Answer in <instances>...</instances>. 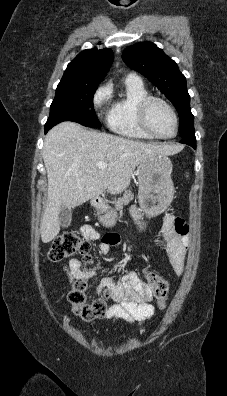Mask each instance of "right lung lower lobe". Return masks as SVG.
Returning a JSON list of instances; mask_svg holds the SVG:
<instances>
[{
	"label": "right lung lower lobe",
	"instance_id": "1",
	"mask_svg": "<svg viewBox=\"0 0 227 396\" xmlns=\"http://www.w3.org/2000/svg\"><path fill=\"white\" fill-rule=\"evenodd\" d=\"M53 126H55V125H46L45 124V133H47L48 130H50Z\"/></svg>",
	"mask_w": 227,
	"mask_h": 396
}]
</instances>
